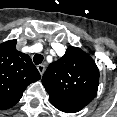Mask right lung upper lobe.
Returning a JSON list of instances; mask_svg holds the SVG:
<instances>
[{
	"instance_id": "1",
	"label": "right lung upper lobe",
	"mask_w": 117,
	"mask_h": 117,
	"mask_svg": "<svg viewBox=\"0 0 117 117\" xmlns=\"http://www.w3.org/2000/svg\"><path fill=\"white\" fill-rule=\"evenodd\" d=\"M16 40L0 44V110L13 107L40 74L27 54L16 50Z\"/></svg>"
}]
</instances>
